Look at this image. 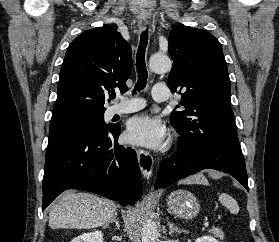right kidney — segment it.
Listing matches in <instances>:
<instances>
[{
	"instance_id": "right-kidney-1",
	"label": "right kidney",
	"mask_w": 279,
	"mask_h": 242,
	"mask_svg": "<svg viewBox=\"0 0 279 242\" xmlns=\"http://www.w3.org/2000/svg\"><path fill=\"white\" fill-rule=\"evenodd\" d=\"M71 242H103V233L98 230L82 233L81 235L75 237Z\"/></svg>"
}]
</instances>
